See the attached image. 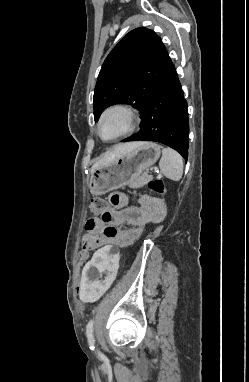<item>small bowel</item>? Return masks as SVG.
<instances>
[{
	"instance_id": "obj_1",
	"label": "small bowel",
	"mask_w": 249,
	"mask_h": 382,
	"mask_svg": "<svg viewBox=\"0 0 249 382\" xmlns=\"http://www.w3.org/2000/svg\"><path fill=\"white\" fill-rule=\"evenodd\" d=\"M108 201L111 208L101 216L90 217L85 223L83 247L87 252L100 250L101 245H130L141 236L148 224L160 222L166 215L164 203L150 197L141 199L138 206L130 205L123 193L110 194ZM124 223L129 228L123 229Z\"/></svg>"
}]
</instances>
